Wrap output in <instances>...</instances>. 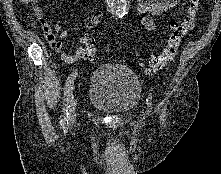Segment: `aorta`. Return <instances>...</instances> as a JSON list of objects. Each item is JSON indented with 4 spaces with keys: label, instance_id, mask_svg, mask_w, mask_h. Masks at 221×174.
Returning a JSON list of instances; mask_svg holds the SVG:
<instances>
[{
    "label": "aorta",
    "instance_id": "aorta-1",
    "mask_svg": "<svg viewBox=\"0 0 221 174\" xmlns=\"http://www.w3.org/2000/svg\"><path fill=\"white\" fill-rule=\"evenodd\" d=\"M109 10L115 15L127 14L130 0H107Z\"/></svg>",
    "mask_w": 221,
    "mask_h": 174
}]
</instances>
